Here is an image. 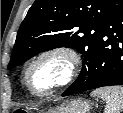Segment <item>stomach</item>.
<instances>
[{
    "label": "stomach",
    "mask_w": 123,
    "mask_h": 113,
    "mask_svg": "<svg viewBox=\"0 0 123 113\" xmlns=\"http://www.w3.org/2000/svg\"><path fill=\"white\" fill-rule=\"evenodd\" d=\"M91 109L92 103L90 101L76 98L62 103L48 113H89Z\"/></svg>",
    "instance_id": "obj_1"
}]
</instances>
